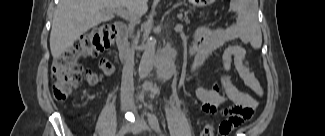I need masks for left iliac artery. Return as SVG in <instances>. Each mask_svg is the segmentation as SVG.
<instances>
[{
  "label": "left iliac artery",
  "instance_id": "44dca946",
  "mask_svg": "<svg viewBox=\"0 0 325 136\" xmlns=\"http://www.w3.org/2000/svg\"><path fill=\"white\" fill-rule=\"evenodd\" d=\"M149 124H150L151 128H153L157 132H161L158 119L154 114H149Z\"/></svg>",
  "mask_w": 325,
  "mask_h": 136
}]
</instances>
